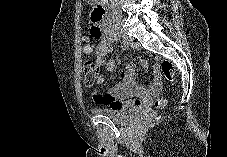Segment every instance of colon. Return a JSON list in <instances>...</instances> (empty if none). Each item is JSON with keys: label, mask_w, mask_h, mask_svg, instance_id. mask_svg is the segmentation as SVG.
Returning a JSON list of instances; mask_svg holds the SVG:
<instances>
[{"label": "colon", "mask_w": 227, "mask_h": 157, "mask_svg": "<svg viewBox=\"0 0 227 157\" xmlns=\"http://www.w3.org/2000/svg\"><path fill=\"white\" fill-rule=\"evenodd\" d=\"M91 16H97L95 10H93ZM100 33L101 32H92L93 36L97 39L100 36ZM84 42L86 43L85 45L89 44L88 38H85ZM161 70L166 79H168L169 81L173 80L175 68L171 61L164 60L161 64ZM99 72L100 69L97 64L93 63L92 61H86L83 66L84 81L86 85H93L97 77L99 76ZM167 104L168 100L165 98H160L155 102V106L157 108H164Z\"/></svg>", "instance_id": "1"}]
</instances>
